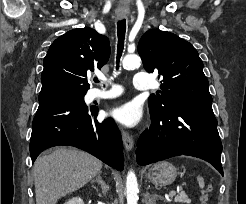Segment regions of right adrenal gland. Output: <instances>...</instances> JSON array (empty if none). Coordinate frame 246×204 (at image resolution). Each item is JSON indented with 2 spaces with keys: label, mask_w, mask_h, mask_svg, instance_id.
<instances>
[{
  "label": "right adrenal gland",
  "mask_w": 246,
  "mask_h": 204,
  "mask_svg": "<svg viewBox=\"0 0 246 204\" xmlns=\"http://www.w3.org/2000/svg\"><path fill=\"white\" fill-rule=\"evenodd\" d=\"M102 172H99L95 179H92V183L100 184L102 194H99L100 197L106 196L107 192L109 191V185L102 179L101 177Z\"/></svg>",
  "instance_id": "obj_1"
}]
</instances>
